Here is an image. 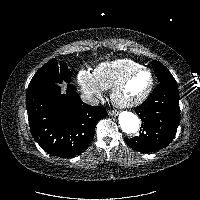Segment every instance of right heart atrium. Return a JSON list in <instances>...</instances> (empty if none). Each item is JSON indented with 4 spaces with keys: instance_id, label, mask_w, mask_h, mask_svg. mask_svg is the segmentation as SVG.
I'll return each mask as SVG.
<instances>
[{
    "instance_id": "right-heart-atrium-1",
    "label": "right heart atrium",
    "mask_w": 200,
    "mask_h": 200,
    "mask_svg": "<svg viewBox=\"0 0 200 200\" xmlns=\"http://www.w3.org/2000/svg\"><path fill=\"white\" fill-rule=\"evenodd\" d=\"M77 83L81 91L91 100L101 98L105 89L98 83L93 72L82 69L77 74Z\"/></svg>"
}]
</instances>
